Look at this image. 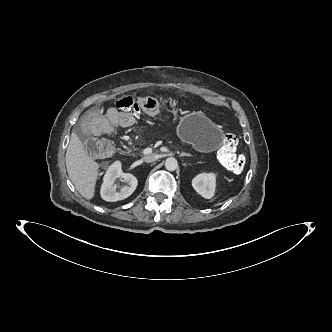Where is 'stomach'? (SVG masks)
Here are the masks:
<instances>
[{
    "mask_svg": "<svg viewBox=\"0 0 332 332\" xmlns=\"http://www.w3.org/2000/svg\"><path fill=\"white\" fill-rule=\"evenodd\" d=\"M177 132L182 140L205 152L219 148L224 139V132L219 125L199 111L182 115Z\"/></svg>",
    "mask_w": 332,
    "mask_h": 332,
    "instance_id": "0dacf381",
    "label": "stomach"
}]
</instances>
